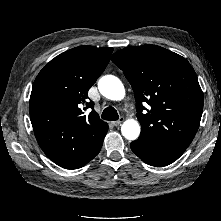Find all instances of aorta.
I'll use <instances>...</instances> for the list:
<instances>
[{
  "instance_id": "obj_1",
  "label": "aorta",
  "mask_w": 221,
  "mask_h": 221,
  "mask_svg": "<svg viewBox=\"0 0 221 221\" xmlns=\"http://www.w3.org/2000/svg\"><path fill=\"white\" fill-rule=\"evenodd\" d=\"M100 93L114 101L122 100L125 96V88L119 78L113 75L103 76L98 82ZM139 123L134 119L126 120L121 127L122 135L128 140H136L140 134Z\"/></svg>"
}]
</instances>
